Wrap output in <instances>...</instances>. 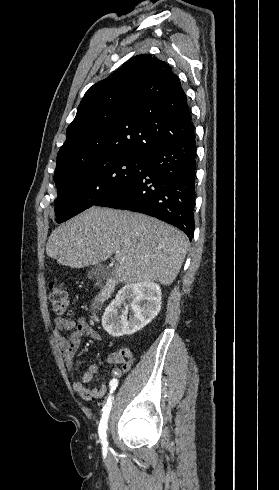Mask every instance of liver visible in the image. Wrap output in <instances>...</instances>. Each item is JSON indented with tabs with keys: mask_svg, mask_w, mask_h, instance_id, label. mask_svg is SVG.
Returning a JSON list of instances; mask_svg holds the SVG:
<instances>
[{
	"mask_svg": "<svg viewBox=\"0 0 279 490\" xmlns=\"http://www.w3.org/2000/svg\"><path fill=\"white\" fill-rule=\"evenodd\" d=\"M188 248L187 236L161 220L97 206L58 226L46 244L47 256L61 266L86 268L115 254L118 284L162 286L175 280Z\"/></svg>",
	"mask_w": 279,
	"mask_h": 490,
	"instance_id": "6515ba94",
	"label": "liver"
}]
</instances>
